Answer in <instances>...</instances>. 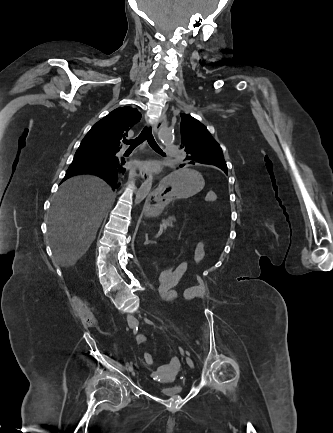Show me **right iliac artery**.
<instances>
[{
	"label": "right iliac artery",
	"instance_id": "right-iliac-artery-1",
	"mask_svg": "<svg viewBox=\"0 0 333 433\" xmlns=\"http://www.w3.org/2000/svg\"><path fill=\"white\" fill-rule=\"evenodd\" d=\"M137 331H138V327L134 328V330H133L134 335L137 333ZM126 366L129 367V363L128 362L126 363Z\"/></svg>",
	"mask_w": 333,
	"mask_h": 433
}]
</instances>
